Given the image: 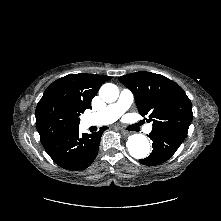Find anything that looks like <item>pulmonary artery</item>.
Masks as SVG:
<instances>
[{
  "mask_svg": "<svg viewBox=\"0 0 221 221\" xmlns=\"http://www.w3.org/2000/svg\"><path fill=\"white\" fill-rule=\"evenodd\" d=\"M134 101L133 93L128 89H123L116 102L106 106L104 109L89 115V124L107 125L116 121ZM152 126L145 128L147 133L151 132Z\"/></svg>",
  "mask_w": 221,
  "mask_h": 221,
  "instance_id": "1",
  "label": "pulmonary artery"
}]
</instances>
